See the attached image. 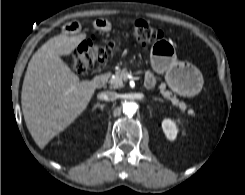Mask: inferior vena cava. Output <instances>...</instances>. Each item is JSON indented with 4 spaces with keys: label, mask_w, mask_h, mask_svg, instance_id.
<instances>
[{
    "label": "inferior vena cava",
    "mask_w": 245,
    "mask_h": 195,
    "mask_svg": "<svg viewBox=\"0 0 245 195\" xmlns=\"http://www.w3.org/2000/svg\"><path fill=\"white\" fill-rule=\"evenodd\" d=\"M98 99L105 101H114L118 98V94L113 91L101 92L97 95Z\"/></svg>",
    "instance_id": "602c4592"
}]
</instances>
